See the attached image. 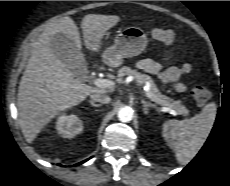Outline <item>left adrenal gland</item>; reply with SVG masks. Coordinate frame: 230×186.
Masks as SVG:
<instances>
[{
  "mask_svg": "<svg viewBox=\"0 0 230 186\" xmlns=\"http://www.w3.org/2000/svg\"><path fill=\"white\" fill-rule=\"evenodd\" d=\"M141 103L143 104V112L144 114L148 113L149 108H155V105L149 102H146L145 100H141Z\"/></svg>",
  "mask_w": 230,
  "mask_h": 186,
  "instance_id": "left-adrenal-gland-1",
  "label": "left adrenal gland"
}]
</instances>
